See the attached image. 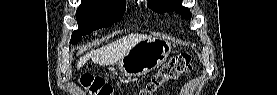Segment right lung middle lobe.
I'll list each match as a JSON object with an SVG mask.
<instances>
[{
  "mask_svg": "<svg viewBox=\"0 0 277 95\" xmlns=\"http://www.w3.org/2000/svg\"><path fill=\"white\" fill-rule=\"evenodd\" d=\"M126 2L114 0H84L77 9L78 30L73 31L70 44L81 40L82 36L119 21L125 12Z\"/></svg>",
  "mask_w": 277,
  "mask_h": 95,
  "instance_id": "obj_1",
  "label": "right lung middle lobe"
}]
</instances>
